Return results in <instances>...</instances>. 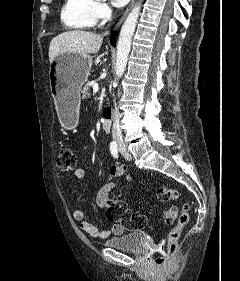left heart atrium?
Instances as JSON below:
<instances>
[{
    "label": "left heart atrium",
    "mask_w": 240,
    "mask_h": 281,
    "mask_svg": "<svg viewBox=\"0 0 240 281\" xmlns=\"http://www.w3.org/2000/svg\"><path fill=\"white\" fill-rule=\"evenodd\" d=\"M111 2L116 7H123L129 2V0H111Z\"/></svg>",
    "instance_id": "39dd6f15"
}]
</instances>
